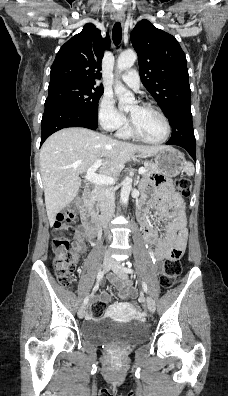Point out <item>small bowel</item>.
<instances>
[{"instance_id": "obj_1", "label": "small bowel", "mask_w": 228, "mask_h": 396, "mask_svg": "<svg viewBox=\"0 0 228 396\" xmlns=\"http://www.w3.org/2000/svg\"><path fill=\"white\" fill-rule=\"evenodd\" d=\"M151 189L158 192V203L161 211L169 218L167 230L169 233L170 242L174 247L185 249L187 243V228H186V211L181 197L173 192L168 182L161 176H156L150 181ZM149 200L145 199L140 209L141 218L146 221ZM95 235L86 229H79L77 231V241L73 247L75 260L78 259V254L85 249V240H92ZM145 240L147 242L155 241L156 249L154 251V259L161 261L165 256V242L157 238L153 229H147L145 232ZM110 282L119 289V298L122 301L135 296V291L129 283L120 281L115 276L109 277ZM99 302L107 304L111 300V295L108 291H103L99 296Z\"/></svg>"}]
</instances>
